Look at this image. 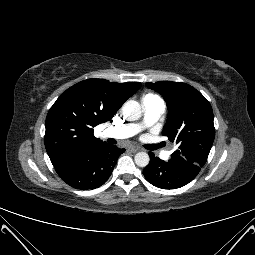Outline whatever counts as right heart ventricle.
<instances>
[{"mask_svg":"<svg viewBox=\"0 0 255 255\" xmlns=\"http://www.w3.org/2000/svg\"><path fill=\"white\" fill-rule=\"evenodd\" d=\"M155 97H157V96L154 95V94H146V95L143 97V101H144V100H150V99H153V98H155Z\"/></svg>","mask_w":255,"mask_h":255,"instance_id":"right-heart-ventricle-1","label":"right heart ventricle"}]
</instances>
